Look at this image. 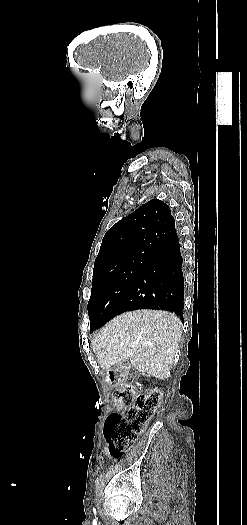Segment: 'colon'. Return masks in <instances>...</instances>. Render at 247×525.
Wrapping results in <instances>:
<instances>
[{"instance_id":"1","label":"colon","mask_w":247,"mask_h":525,"mask_svg":"<svg viewBox=\"0 0 247 525\" xmlns=\"http://www.w3.org/2000/svg\"><path fill=\"white\" fill-rule=\"evenodd\" d=\"M162 397L159 390L140 395L138 388L132 385L115 390L113 398L120 411L110 414L105 426L108 452L113 458H122L134 444L157 412Z\"/></svg>"}]
</instances>
